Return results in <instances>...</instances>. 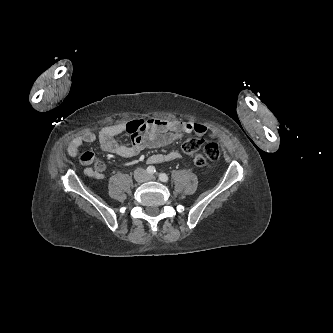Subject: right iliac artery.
Listing matches in <instances>:
<instances>
[{"label": "right iliac artery", "mask_w": 333, "mask_h": 333, "mask_svg": "<svg viewBox=\"0 0 333 333\" xmlns=\"http://www.w3.org/2000/svg\"><path fill=\"white\" fill-rule=\"evenodd\" d=\"M147 172H148L149 174H154V173L156 172V169H155V167H153V166H149V167L147 168Z\"/></svg>", "instance_id": "82829eb1"}]
</instances>
